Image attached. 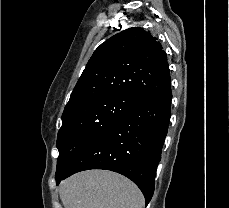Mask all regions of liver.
<instances>
[{"label":"liver","instance_id":"6515ba94","mask_svg":"<svg viewBox=\"0 0 229 208\" xmlns=\"http://www.w3.org/2000/svg\"><path fill=\"white\" fill-rule=\"evenodd\" d=\"M59 196L64 208H144L145 200L139 188L128 178L89 170L74 174L61 182Z\"/></svg>","mask_w":229,"mask_h":208}]
</instances>
